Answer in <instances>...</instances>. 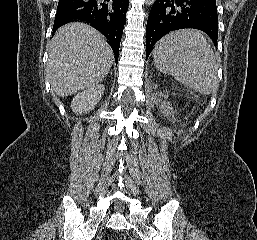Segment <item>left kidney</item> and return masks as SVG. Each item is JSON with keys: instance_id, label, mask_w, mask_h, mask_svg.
<instances>
[{"instance_id": "1", "label": "left kidney", "mask_w": 257, "mask_h": 240, "mask_svg": "<svg viewBox=\"0 0 257 240\" xmlns=\"http://www.w3.org/2000/svg\"><path fill=\"white\" fill-rule=\"evenodd\" d=\"M160 108H161V110H162V113L164 114V115H169V114H171V111H172V107H171V105H170V103L168 102V103H162L161 104V106H160Z\"/></svg>"}]
</instances>
